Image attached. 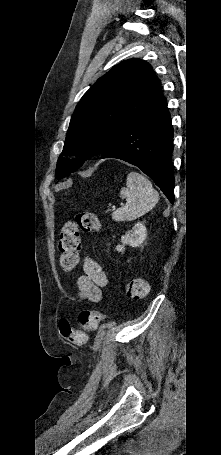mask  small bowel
I'll return each mask as SVG.
<instances>
[{
	"instance_id": "1",
	"label": "small bowel",
	"mask_w": 221,
	"mask_h": 455,
	"mask_svg": "<svg viewBox=\"0 0 221 455\" xmlns=\"http://www.w3.org/2000/svg\"><path fill=\"white\" fill-rule=\"evenodd\" d=\"M84 275L78 279V293L82 299L97 303L102 298V289L107 277L101 266L90 256L83 258Z\"/></svg>"
}]
</instances>
